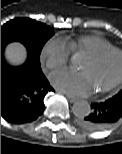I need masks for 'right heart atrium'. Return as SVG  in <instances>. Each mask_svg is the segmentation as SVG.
I'll return each mask as SVG.
<instances>
[{
    "label": "right heart atrium",
    "mask_w": 122,
    "mask_h": 154,
    "mask_svg": "<svg viewBox=\"0 0 122 154\" xmlns=\"http://www.w3.org/2000/svg\"><path fill=\"white\" fill-rule=\"evenodd\" d=\"M71 51L62 38L54 37L46 42L41 51V60L49 70L65 66L70 59Z\"/></svg>",
    "instance_id": "right-heart-atrium-1"
}]
</instances>
